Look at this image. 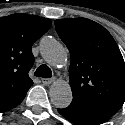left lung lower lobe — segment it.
Listing matches in <instances>:
<instances>
[{
    "mask_svg": "<svg viewBox=\"0 0 125 125\" xmlns=\"http://www.w3.org/2000/svg\"><path fill=\"white\" fill-rule=\"evenodd\" d=\"M58 112L76 125H99L108 121L119 108L113 106L99 107H67L57 109Z\"/></svg>",
    "mask_w": 125,
    "mask_h": 125,
    "instance_id": "1",
    "label": "left lung lower lobe"
}]
</instances>
